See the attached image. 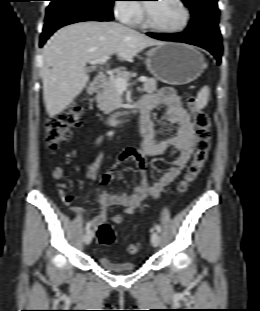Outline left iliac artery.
<instances>
[{"label": "left iliac artery", "mask_w": 260, "mask_h": 311, "mask_svg": "<svg viewBox=\"0 0 260 311\" xmlns=\"http://www.w3.org/2000/svg\"><path fill=\"white\" fill-rule=\"evenodd\" d=\"M155 229L157 230V232H161V227H160V225L156 224V225H155Z\"/></svg>", "instance_id": "left-iliac-artery-1"}]
</instances>
